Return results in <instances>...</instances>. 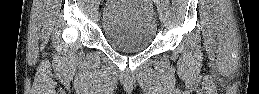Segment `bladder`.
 <instances>
[{
    "label": "bladder",
    "mask_w": 259,
    "mask_h": 94,
    "mask_svg": "<svg viewBox=\"0 0 259 94\" xmlns=\"http://www.w3.org/2000/svg\"><path fill=\"white\" fill-rule=\"evenodd\" d=\"M158 30L149 0H108L101 17V32L115 49L138 52L147 49Z\"/></svg>",
    "instance_id": "obj_1"
}]
</instances>
